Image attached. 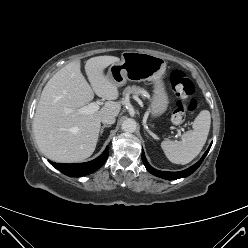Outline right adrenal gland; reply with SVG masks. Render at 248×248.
Listing matches in <instances>:
<instances>
[{
    "label": "right adrenal gland",
    "mask_w": 248,
    "mask_h": 248,
    "mask_svg": "<svg viewBox=\"0 0 248 248\" xmlns=\"http://www.w3.org/2000/svg\"><path fill=\"white\" fill-rule=\"evenodd\" d=\"M110 127V125H103L100 130V135H102L104 128Z\"/></svg>",
    "instance_id": "obj_1"
}]
</instances>
